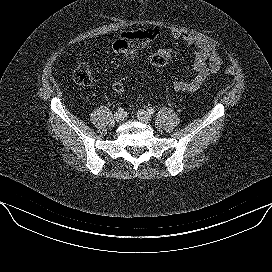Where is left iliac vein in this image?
Listing matches in <instances>:
<instances>
[{
	"mask_svg": "<svg viewBox=\"0 0 272 272\" xmlns=\"http://www.w3.org/2000/svg\"><path fill=\"white\" fill-rule=\"evenodd\" d=\"M137 118L143 123L148 124L151 121V115L145 110H139L137 112Z\"/></svg>",
	"mask_w": 272,
	"mask_h": 272,
	"instance_id": "4c4485c4",
	"label": "left iliac vein"
}]
</instances>
